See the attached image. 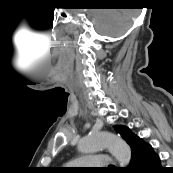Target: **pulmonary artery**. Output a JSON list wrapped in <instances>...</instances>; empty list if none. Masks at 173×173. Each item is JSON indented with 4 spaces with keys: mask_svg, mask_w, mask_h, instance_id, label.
Returning a JSON list of instances; mask_svg holds the SVG:
<instances>
[{
    "mask_svg": "<svg viewBox=\"0 0 173 173\" xmlns=\"http://www.w3.org/2000/svg\"><path fill=\"white\" fill-rule=\"evenodd\" d=\"M70 164L72 166L83 168H100L107 167L110 164V159L106 155H91L78 158Z\"/></svg>",
    "mask_w": 173,
    "mask_h": 173,
    "instance_id": "1",
    "label": "pulmonary artery"
}]
</instances>
